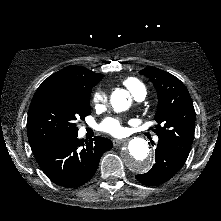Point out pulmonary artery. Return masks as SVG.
Here are the masks:
<instances>
[{"label": "pulmonary artery", "mask_w": 221, "mask_h": 221, "mask_svg": "<svg viewBox=\"0 0 221 221\" xmlns=\"http://www.w3.org/2000/svg\"><path fill=\"white\" fill-rule=\"evenodd\" d=\"M145 96H146V91H145V90H142V91L138 92V93L134 96V98H135L136 101H142V100H144ZM154 140H155V141H158V137H155Z\"/></svg>", "instance_id": "1"}]
</instances>
